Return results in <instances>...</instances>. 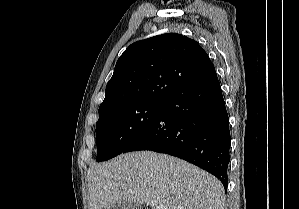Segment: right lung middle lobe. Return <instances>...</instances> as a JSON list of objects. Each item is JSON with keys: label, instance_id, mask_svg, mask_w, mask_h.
Returning a JSON list of instances; mask_svg holds the SVG:
<instances>
[{"label": "right lung middle lobe", "instance_id": "obj_1", "mask_svg": "<svg viewBox=\"0 0 299 209\" xmlns=\"http://www.w3.org/2000/svg\"><path fill=\"white\" fill-rule=\"evenodd\" d=\"M163 104L136 102L99 113L96 124V161H105L124 152L153 123Z\"/></svg>", "mask_w": 299, "mask_h": 209}]
</instances>
